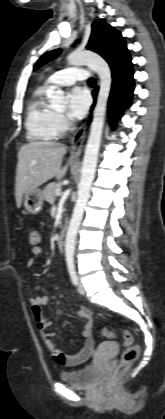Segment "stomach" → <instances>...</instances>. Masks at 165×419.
<instances>
[{
  "label": "stomach",
  "mask_w": 165,
  "mask_h": 419,
  "mask_svg": "<svg viewBox=\"0 0 165 419\" xmlns=\"http://www.w3.org/2000/svg\"><path fill=\"white\" fill-rule=\"evenodd\" d=\"M43 192L36 188L23 196L22 202L26 211L30 214H37L43 207Z\"/></svg>",
  "instance_id": "1"
}]
</instances>
